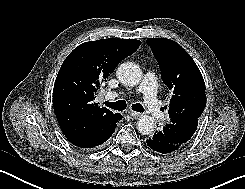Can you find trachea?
I'll list each match as a JSON object with an SVG mask.
<instances>
[{"instance_id":"obj_1","label":"trachea","mask_w":245,"mask_h":189,"mask_svg":"<svg viewBox=\"0 0 245 189\" xmlns=\"http://www.w3.org/2000/svg\"><path fill=\"white\" fill-rule=\"evenodd\" d=\"M105 105L107 107H110V108L117 110V111H123L127 107V104L124 100H118L116 102L106 101ZM131 108H132V110L137 111V112H144L145 111L144 107L140 103L132 104Z\"/></svg>"}]
</instances>
